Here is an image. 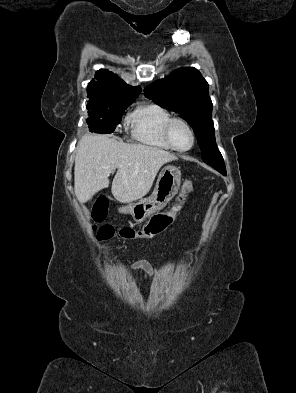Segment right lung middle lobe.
I'll return each mask as SVG.
<instances>
[{"mask_svg":"<svg viewBox=\"0 0 296 393\" xmlns=\"http://www.w3.org/2000/svg\"><path fill=\"white\" fill-rule=\"evenodd\" d=\"M133 100H109L88 102L89 130L95 133H112L121 122L124 110Z\"/></svg>","mask_w":296,"mask_h":393,"instance_id":"obj_1","label":"right lung middle lobe"}]
</instances>
